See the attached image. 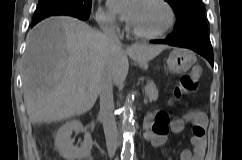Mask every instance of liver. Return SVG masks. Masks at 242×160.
Listing matches in <instances>:
<instances>
[{
  "label": "liver",
  "mask_w": 242,
  "mask_h": 160,
  "mask_svg": "<svg viewBox=\"0 0 242 160\" xmlns=\"http://www.w3.org/2000/svg\"><path fill=\"white\" fill-rule=\"evenodd\" d=\"M167 45L133 44L125 50L101 32L67 16L51 17L29 31L23 57L24 103L32 123H50L82 115L94 106L111 63L115 85L128 74V58L140 66Z\"/></svg>",
  "instance_id": "6515ba94"
}]
</instances>
